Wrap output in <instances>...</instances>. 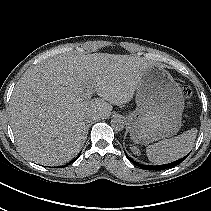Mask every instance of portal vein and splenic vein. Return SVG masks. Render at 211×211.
Returning a JSON list of instances; mask_svg holds the SVG:
<instances>
[{
    "mask_svg": "<svg viewBox=\"0 0 211 211\" xmlns=\"http://www.w3.org/2000/svg\"><path fill=\"white\" fill-rule=\"evenodd\" d=\"M93 93H94L93 87L89 84V85L87 86L86 92L83 93V97H84L85 99H89V98H91V96H92Z\"/></svg>",
    "mask_w": 211,
    "mask_h": 211,
    "instance_id": "18ae733b",
    "label": "portal vein and splenic vein"
}]
</instances>
